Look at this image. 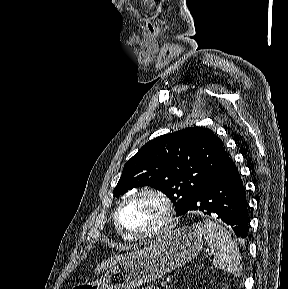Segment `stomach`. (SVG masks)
<instances>
[{
	"mask_svg": "<svg viewBox=\"0 0 288 289\" xmlns=\"http://www.w3.org/2000/svg\"><path fill=\"white\" fill-rule=\"evenodd\" d=\"M202 246V235L193 226H182L158 237L99 280L77 284L73 289H135L185 265Z\"/></svg>",
	"mask_w": 288,
	"mask_h": 289,
	"instance_id": "1",
	"label": "stomach"
}]
</instances>
